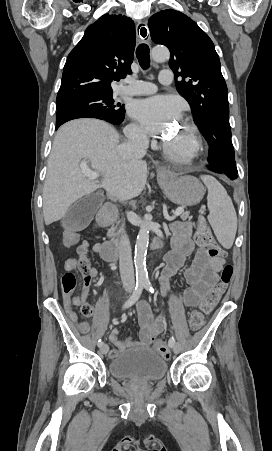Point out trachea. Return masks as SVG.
<instances>
[{
  "mask_svg": "<svg viewBox=\"0 0 272 451\" xmlns=\"http://www.w3.org/2000/svg\"><path fill=\"white\" fill-rule=\"evenodd\" d=\"M149 47L145 43H142L137 47L136 56L140 66L146 70L150 66Z\"/></svg>",
  "mask_w": 272,
  "mask_h": 451,
  "instance_id": "3493384b",
  "label": "trachea"
}]
</instances>
